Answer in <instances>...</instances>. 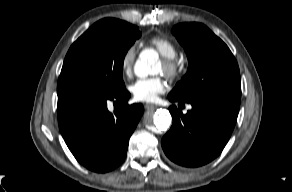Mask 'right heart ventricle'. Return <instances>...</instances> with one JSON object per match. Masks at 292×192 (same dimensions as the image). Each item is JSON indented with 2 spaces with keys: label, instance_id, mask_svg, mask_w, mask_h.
<instances>
[{
  "label": "right heart ventricle",
  "instance_id": "right-heart-ventricle-1",
  "mask_svg": "<svg viewBox=\"0 0 292 192\" xmlns=\"http://www.w3.org/2000/svg\"><path fill=\"white\" fill-rule=\"evenodd\" d=\"M149 43L161 54L163 58L174 59L177 56L176 45L168 38L156 36L149 40Z\"/></svg>",
  "mask_w": 292,
  "mask_h": 192
}]
</instances>
